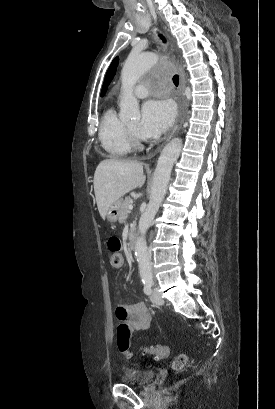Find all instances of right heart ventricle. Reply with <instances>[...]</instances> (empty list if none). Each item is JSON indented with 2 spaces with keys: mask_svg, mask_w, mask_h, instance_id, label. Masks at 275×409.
Segmentation results:
<instances>
[{
  "mask_svg": "<svg viewBox=\"0 0 275 409\" xmlns=\"http://www.w3.org/2000/svg\"><path fill=\"white\" fill-rule=\"evenodd\" d=\"M98 137L103 150L111 157L126 156L132 150L127 125L114 109L107 110L102 116Z\"/></svg>",
  "mask_w": 275,
  "mask_h": 409,
  "instance_id": "e07e8e85",
  "label": "right heart ventricle"
}]
</instances>
